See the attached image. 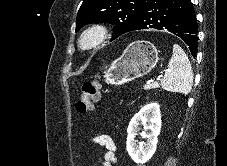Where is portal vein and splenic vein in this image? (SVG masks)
Returning <instances> with one entry per match:
<instances>
[{"instance_id":"18ae733b","label":"portal vein and splenic vein","mask_w":227,"mask_h":166,"mask_svg":"<svg viewBox=\"0 0 227 166\" xmlns=\"http://www.w3.org/2000/svg\"><path fill=\"white\" fill-rule=\"evenodd\" d=\"M151 82H153V80H150V81H148L147 83L150 84Z\"/></svg>"}]
</instances>
